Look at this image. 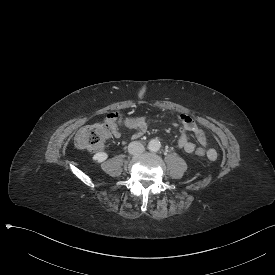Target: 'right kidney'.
<instances>
[{
  "label": "right kidney",
  "instance_id": "1",
  "mask_svg": "<svg viewBox=\"0 0 275 275\" xmlns=\"http://www.w3.org/2000/svg\"><path fill=\"white\" fill-rule=\"evenodd\" d=\"M109 158L107 152H97L92 156V162L95 164L104 163Z\"/></svg>",
  "mask_w": 275,
  "mask_h": 275
}]
</instances>
